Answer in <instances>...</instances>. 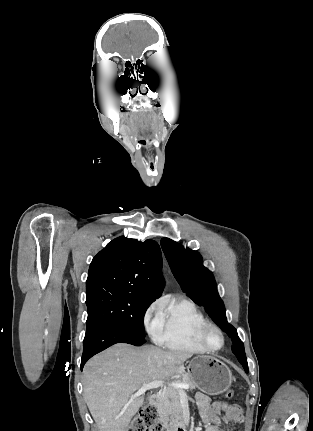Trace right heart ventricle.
I'll return each instance as SVG.
<instances>
[{
    "label": "right heart ventricle",
    "mask_w": 313,
    "mask_h": 431,
    "mask_svg": "<svg viewBox=\"0 0 313 431\" xmlns=\"http://www.w3.org/2000/svg\"><path fill=\"white\" fill-rule=\"evenodd\" d=\"M163 324L156 341L163 347L188 353H203L199 334L207 320L188 298H175L163 304Z\"/></svg>",
    "instance_id": "e07e8e85"
}]
</instances>
